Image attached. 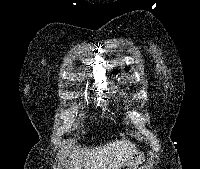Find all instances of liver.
<instances>
[{
  "instance_id": "liver-1",
  "label": "liver",
  "mask_w": 200,
  "mask_h": 169,
  "mask_svg": "<svg viewBox=\"0 0 200 169\" xmlns=\"http://www.w3.org/2000/svg\"><path fill=\"white\" fill-rule=\"evenodd\" d=\"M136 152L135 144L127 140L107 142L103 146L65 148L64 156L68 158L67 169H120Z\"/></svg>"
}]
</instances>
